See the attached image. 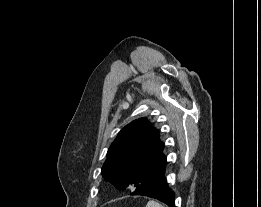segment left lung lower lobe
Returning <instances> with one entry per match:
<instances>
[{
	"instance_id": "0a47b994",
	"label": "left lung lower lobe",
	"mask_w": 261,
	"mask_h": 207,
	"mask_svg": "<svg viewBox=\"0 0 261 207\" xmlns=\"http://www.w3.org/2000/svg\"><path fill=\"white\" fill-rule=\"evenodd\" d=\"M165 171L159 175L141 183L131 195H141L154 198L164 202L169 207H175V194L168 186Z\"/></svg>"
}]
</instances>
